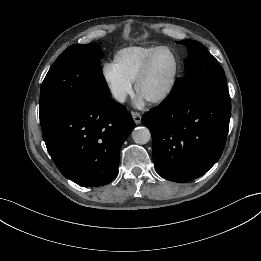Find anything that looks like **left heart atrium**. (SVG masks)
<instances>
[{"mask_svg": "<svg viewBox=\"0 0 261 261\" xmlns=\"http://www.w3.org/2000/svg\"><path fill=\"white\" fill-rule=\"evenodd\" d=\"M138 103H139V104H142V103H143V97L140 96V95H139V97H138Z\"/></svg>", "mask_w": 261, "mask_h": 261, "instance_id": "39dd6f15", "label": "left heart atrium"}]
</instances>
